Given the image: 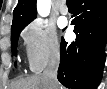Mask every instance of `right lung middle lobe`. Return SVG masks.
Instances as JSON below:
<instances>
[{
	"mask_svg": "<svg viewBox=\"0 0 107 89\" xmlns=\"http://www.w3.org/2000/svg\"><path fill=\"white\" fill-rule=\"evenodd\" d=\"M26 25L27 24L19 26V27L11 28V34H12L11 35V49L13 50L14 55L17 54V42H18L20 32Z\"/></svg>",
	"mask_w": 107,
	"mask_h": 89,
	"instance_id": "right-lung-middle-lobe-1",
	"label": "right lung middle lobe"
}]
</instances>
